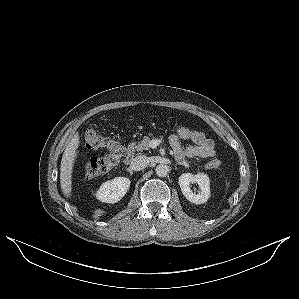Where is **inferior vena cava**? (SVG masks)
Here are the masks:
<instances>
[{"label":"inferior vena cava","instance_id":"602c4592","mask_svg":"<svg viewBox=\"0 0 299 299\" xmlns=\"http://www.w3.org/2000/svg\"><path fill=\"white\" fill-rule=\"evenodd\" d=\"M149 165V158L145 155H139L132 161V167L135 170H143Z\"/></svg>","mask_w":299,"mask_h":299}]
</instances>
